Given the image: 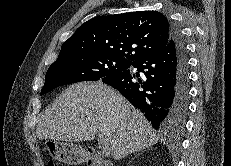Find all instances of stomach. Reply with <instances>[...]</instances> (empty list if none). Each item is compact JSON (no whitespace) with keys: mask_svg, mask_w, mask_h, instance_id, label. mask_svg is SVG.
Listing matches in <instances>:
<instances>
[{"mask_svg":"<svg viewBox=\"0 0 231 166\" xmlns=\"http://www.w3.org/2000/svg\"><path fill=\"white\" fill-rule=\"evenodd\" d=\"M47 149L53 159L66 164H79L85 160V150L69 141H49Z\"/></svg>","mask_w":231,"mask_h":166,"instance_id":"1","label":"stomach"}]
</instances>
